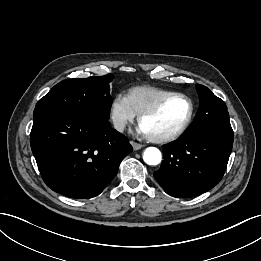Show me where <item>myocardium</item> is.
Returning a JSON list of instances; mask_svg holds the SVG:
<instances>
[{
    "label": "myocardium",
    "mask_w": 261,
    "mask_h": 261,
    "mask_svg": "<svg viewBox=\"0 0 261 261\" xmlns=\"http://www.w3.org/2000/svg\"><path fill=\"white\" fill-rule=\"evenodd\" d=\"M171 98H182L186 100L189 105L188 115L185 121L182 123V125L178 129H176L175 131L169 134L162 135V136H151L147 134V138L154 143H167L178 139L186 132V130L188 129V127L190 126L193 120L195 108L191 98L182 93H169L163 96L162 98H160L153 105H151L150 107L146 108L145 110L139 113L138 115L139 124L141 125V122L145 117L157 113L160 110V108Z\"/></svg>",
    "instance_id": "1"
}]
</instances>
